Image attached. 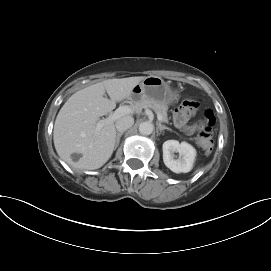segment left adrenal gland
<instances>
[{"label":"left adrenal gland","instance_id":"1","mask_svg":"<svg viewBox=\"0 0 271 271\" xmlns=\"http://www.w3.org/2000/svg\"><path fill=\"white\" fill-rule=\"evenodd\" d=\"M157 128L159 129L160 133H161L163 130H165V129L171 131L170 128H168V127H166V126H163V125H161L160 123H158Z\"/></svg>","mask_w":271,"mask_h":271}]
</instances>
